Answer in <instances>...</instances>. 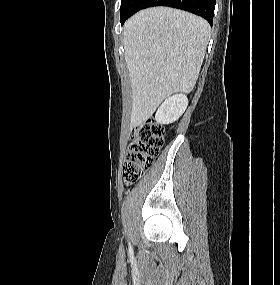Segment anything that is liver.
<instances>
[{"mask_svg":"<svg viewBox=\"0 0 280 285\" xmlns=\"http://www.w3.org/2000/svg\"><path fill=\"white\" fill-rule=\"evenodd\" d=\"M123 36L132 90L130 127L134 128L149 119L165 98L194 88L210 26L191 13L153 7L128 19Z\"/></svg>","mask_w":280,"mask_h":285,"instance_id":"6515ba94","label":"liver"}]
</instances>
